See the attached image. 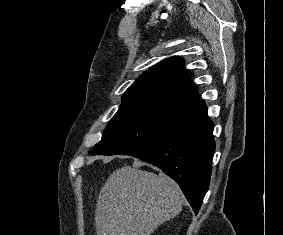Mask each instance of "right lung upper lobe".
Here are the masks:
<instances>
[{
    "label": "right lung upper lobe",
    "instance_id": "1",
    "mask_svg": "<svg viewBox=\"0 0 283 235\" xmlns=\"http://www.w3.org/2000/svg\"><path fill=\"white\" fill-rule=\"evenodd\" d=\"M200 99L188 83L180 58L160 63L143 73L123 94L122 102L170 101L191 104Z\"/></svg>",
    "mask_w": 283,
    "mask_h": 235
}]
</instances>
